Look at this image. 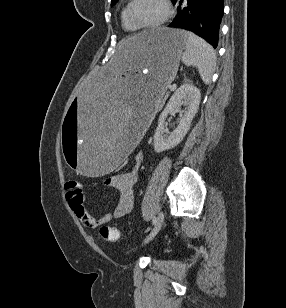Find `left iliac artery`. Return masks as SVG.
Listing matches in <instances>:
<instances>
[{
	"mask_svg": "<svg viewBox=\"0 0 286 308\" xmlns=\"http://www.w3.org/2000/svg\"><path fill=\"white\" fill-rule=\"evenodd\" d=\"M156 222V217L153 218L152 223L155 224Z\"/></svg>",
	"mask_w": 286,
	"mask_h": 308,
	"instance_id": "left-iliac-artery-1",
	"label": "left iliac artery"
}]
</instances>
